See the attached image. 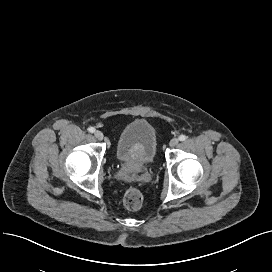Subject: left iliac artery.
Instances as JSON below:
<instances>
[{"label":"left iliac artery","mask_w":272,"mask_h":272,"mask_svg":"<svg viewBox=\"0 0 272 272\" xmlns=\"http://www.w3.org/2000/svg\"><path fill=\"white\" fill-rule=\"evenodd\" d=\"M186 139H187V137L185 135H180L179 136L180 141H185Z\"/></svg>","instance_id":"left-iliac-artery-1"}]
</instances>
